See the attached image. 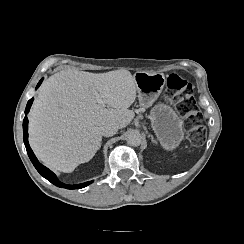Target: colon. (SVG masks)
<instances>
[{
    "label": "colon",
    "instance_id": "obj_1",
    "mask_svg": "<svg viewBox=\"0 0 244 244\" xmlns=\"http://www.w3.org/2000/svg\"><path fill=\"white\" fill-rule=\"evenodd\" d=\"M165 96L176 103L179 114L186 117L190 128L189 140L193 144H202L206 139L203 116L199 112L192 96L191 84L177 74H171L166 81Z\"/></svg>",
    "mask_w": 244,
    "mask_h": 244
}]
</instances>
